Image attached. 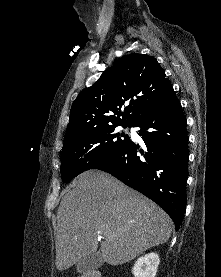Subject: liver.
Listing matches in <instances>:
<instances>
[{
  "label": "liver",
  "instance_id": "liver-1",
  "mask_svg": "<svg viewBox=\"0 0 221 277\" xmlns=\"http://www.w3.org/2000/svg\"><path fill=\"white\" fill-rule=\"evenodd\" d=\"M172 224L159 206L111 175L84 172L57 211L56 267L66 270L96 252L100 234L103 261L124 264L166 243Z\"/></svg>",
  "mask_w": 221,
  "mask_h": 277
}]
</instances>
